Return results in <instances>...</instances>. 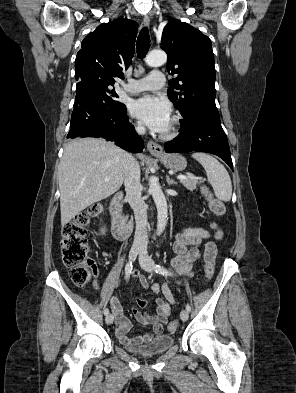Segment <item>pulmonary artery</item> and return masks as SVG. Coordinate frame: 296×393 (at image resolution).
<instances>
[{"mask_svg": "<svg viewBox=\"0 0 296 393\" xmlns=\"http://www.w3.org/2000/svg\"><path fill=\"white\" fill-rule=\"evenodd\" d=\"M164 83V74L153 71L141 79H129V82L124 86V91L136 94L147 90H158L163 87Z\"/></svg>", "mask_w": 296, "mask_h": 393, "instance_id": "pulmonary-artery-1", "label": "pulmonary artery"}]
</instances>
